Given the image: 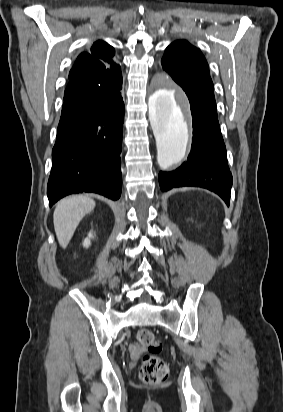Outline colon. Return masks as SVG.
<instances>
[{
	"instance_id": "colon-1",
	"label": "colon",
	"mask_w": 283,
	"mask_h": 412,
	"mask_svg": "<svg viewBox=\"0 0 283 412\" xmlns=\"http://www.w3.org/2000/svg\"><path fill=\"white\" fill-rule=\"evenodd\" d=\"M137 340L148 352L141 361L140 379L146 385H159L165 382L169 376V367L156 355L162 348L160 340L148 329L139 330Z\"/></svg>"
}]
</instances>
